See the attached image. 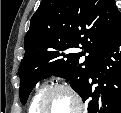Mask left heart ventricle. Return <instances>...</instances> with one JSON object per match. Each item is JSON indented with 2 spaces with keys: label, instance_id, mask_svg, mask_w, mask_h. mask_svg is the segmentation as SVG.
Returning <instances> with one entry per match:
<instances>
[{
  "label": "left heart ventricle",
  "instance_id": "1",
  "mask_svg": "<svg viewBox=\"0 0 121 113\" xmlns=\"http://www.w3.org/2000/svg\"><path fill=\"white\" fill-rule=\"evenodd\" d=\"M74 100L66 92H57L52 95L47 103V109L51 112H68L74 109Z\"/></svg>",
  "mask_w": 121,
  "mask_h": 113
}]
</instances>
